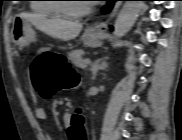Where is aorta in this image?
<instances>
[{"label":"aorta","instance_id":"1","mask_svg":"<svg viewBox=\"0 0 182 140\" xmlns=\"http://www.w3.org/2000/svg\"><path fill=\"white\" fill-rule=\"evenodd\" d=\"M142 3V1L124 2L115 21L113 32L115 38L123 37L130 31L139 15Z\"/></svg>","mask_w":182,"mask_h":140}]
</instances>
